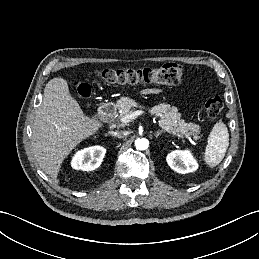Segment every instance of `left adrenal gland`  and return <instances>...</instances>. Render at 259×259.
<instances>
[{
  "label": "left adrenal gland",
  "mask_w": 259,
  "mask_h": 259,
  "mask_svg": "<svg viewBox=\"0 0 259 259\" xmlns=\"http://www.w3.org/2000/svg\"><path fill=\"white\" fill-rule=\"evenodd\" d=\"M162 133H164V131H163V130H159V131H157V132L154 134V136H155L156 138H158L159 135L162 134Z\"/></svg>",
  "instance_id": "a2214340"
}]
</instances>
